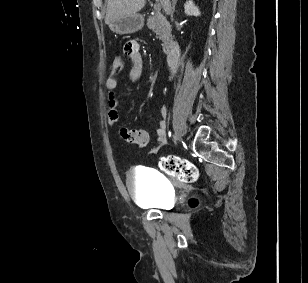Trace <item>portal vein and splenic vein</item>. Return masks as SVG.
<instances>
[{
	"label": "portal vein and splenic vein",
	"mask_w": 308,
	"mask_h": 283,
	"mask_svg": "<svg viewBox=\"0 0 308 283\" xmlns=\"http://www.w3.org/2000/svg\"><path fill=\"white\" fill-rule=\"evenodd\" d=\"M156 4L154 5V8H155V10H159L160 9V4L158 3L159 2V0H156Z\"/></svg>",
	"instance_id": "portal-vein-and-splenic-vein-1"
}]
</instances>
